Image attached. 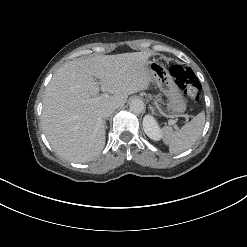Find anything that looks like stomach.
<instances>
[{
  "label": "stomach",
  "mask_w": 247,
  "mask_h": 247,
  "mask_svg": "<svg viewBox=\"0 0 247 247\" xmlns=\"http://www.w3.org/2000/svg\"><path fill=\"white\" fill-rule=\"evenodd\" d=\"M137 71L140 76L152 79L168 98L167 109L171 114H182L186 111V99L169 71L162 64L144 59L139 62Z\"/></svg>",
  "instance_id": "obj_1"
}]
</instances>
